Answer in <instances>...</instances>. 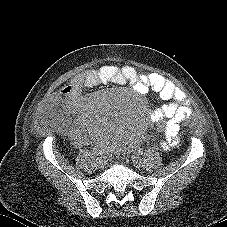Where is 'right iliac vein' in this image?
I'll use <instances>...</instances> for the list:
<instances>
[{"label":"right iliac vein","instance_id":"1","mask_svg":"<svg viewBox=\"0 0 227 227\" xmlns=\"http://www.w3.org/2000/svg\"><path fill=\"white\" fill-rule=\"evenodd\" d=\"M96 165H97L98 168H103L104 165H105V162L102 158H97L96 159Z\"/></svg>","mask_w":227,"mask_h":227}]
</instances>
